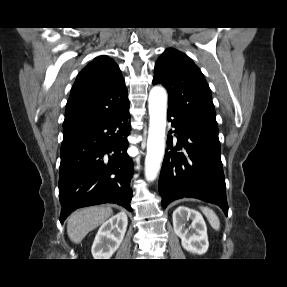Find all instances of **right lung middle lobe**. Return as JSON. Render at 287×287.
Returning <instances> with one entry per match:
<instances>
[{"label": "right lung middle lobe", "instance_id": "1", "mask_svg": "<svg viewBox=\"0 0 287 287\" xmlns=\"http://www.w3.org/2000/svg\"><path fill=\"white\" fill-rule=\"evenodd\" d=\"M68 128H70V127H68ZM65 129H67V128H66V127H64V130H65Z\"/></svg>", "mask_w": 287, "mask_h": 287}]
</instances>
